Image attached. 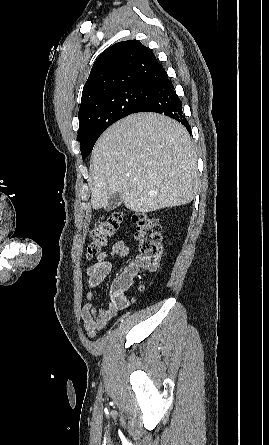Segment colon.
Segmentation results:
<instances>
[{"label":"colon","mask_w":269,"mask_h":445,"mask_svg":"<svg viewBox=\"0 0 269 445\" xmlns=\"http://www.w3.org/2000/svg\"><path fill=\"white\" fill-rule=\"evenodd\" d=\"M137 225L135 239L138 243V254L134 264L125 268L115 279L112 290L118 301H122L124 294L132 285L138 268L155 269L161 258V227L152 214L134 216ZM122 222V213L114 212L102 216L95 224L89 235L86 248V257L92 259L101 253L115 235Z\"/></svg>","instance_id":"obj_1"}]
</instances>
